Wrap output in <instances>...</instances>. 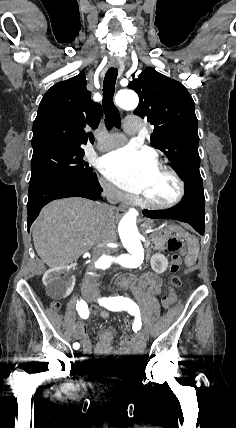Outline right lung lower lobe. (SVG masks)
Instances as JSON below:
<instances>
[{"label":"right lung lower lobe","instance_id":"1","mask_svg":"<svg viewBox=\"0 0 236 428\" xmlns=\"http://www.w3.org/2000/svg\"><path fill=\"white\" fill-rule=\"evenodd\" d=\"M102 188L95 173L86 176H59L29 185L28 231L43 206L55 199L84 197L91 200L100 198Z\"/></svg>","mask_w":236,"mask_h":428}]
</instances>
